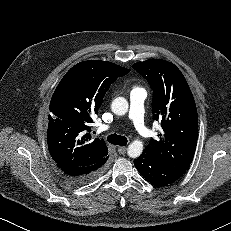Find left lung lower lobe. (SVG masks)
I'll return each mask as SVG.
<instances>
[{
  "instance_id": "1",
  "label": "left lung lower lobe",
  "mask_w": 231,
  "mask_h": 231,
  "mask_svg": "<svg viewBox=\"0 0 231 231\" xmlns=\"http://www.w3.org/2000/svg\"><path fill=\"white\" fill-rule=\"evenodd\" d=\"M139 173L154 186H165L178 180L187 170L186 168L159 162L147 153L134 160Z\"/></svg>"
}]
</instances>
